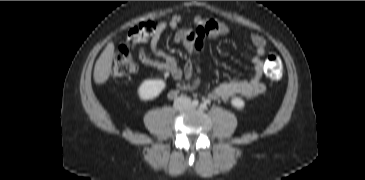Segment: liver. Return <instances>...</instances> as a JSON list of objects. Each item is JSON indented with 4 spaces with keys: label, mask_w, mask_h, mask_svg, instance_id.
Listing matches in <instances>:
<instances>
[{
    "label": "liver",
    "mask_w": 365,
    "mask_h": 180,
    "mask_svg": "<svg viewBox=\"0 0 365 180\" xmlns=\"http://www.w3.org/2000/svg\"><path fill=\"white\" fill-rule=\"evenodd\" d=\"M114 49V43L109 42L97 59L93 73L96 84H104L109 79L112 72Z\"/></svg>",
    "instance_id": "liver-1"
}]
</instances>
